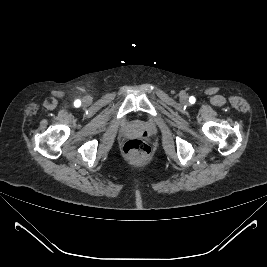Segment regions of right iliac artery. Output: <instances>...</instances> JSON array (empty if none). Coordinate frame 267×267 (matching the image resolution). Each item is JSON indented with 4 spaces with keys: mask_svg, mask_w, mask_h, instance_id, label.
Segmentation results:
<instances>
[{
    "mask_svg": "<svg viewBox=\"0 0 267 267\" xmlns=\"http://www.w3.org/2000/svg\"><path fill=\"white\" fill-rule=\"evenodd\" d=\"M80 104H81L80 100H76V101H75V105H76V106H80Z\"/></svg>",
    "mask_w": 267,
    "mask_h": 267,
    "instance_id": "82829eb1",
    "label": "right iliac artery"
}]
</instances>
